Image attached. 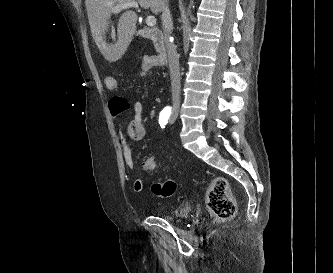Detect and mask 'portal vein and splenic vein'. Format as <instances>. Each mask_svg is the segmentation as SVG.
I'll return each mask as SVG.
<instances>
[{
  "mask_svg": "<svg viewBox=\"0 0 333 273\" xmlns=\"http://www.w3.org/2000/svg\"><path fill=\"white\" fill-rule=\"evenodd\" d=\"M132 7L139 8L138 3L135 2V1H133V0H127L126 2L121 3L118 6H116L113 11L115 13H118V12H120L123 9L132 8ZM146 24L148 26H150V27L155 26L156 25V19H155V17L154 16H147V18H146Z\"/></svg>",
  "mask_w": 333,
  "mask_h": 273,
  "instance_id": "18ae733b",
  "label": "portal vein and splenic vein"
}]
</instances>
